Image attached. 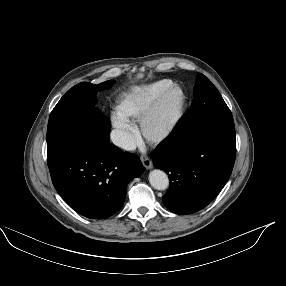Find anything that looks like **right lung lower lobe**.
I'll return each instance as SVG.
<instances>
[{
    "label": "right lung lower lobe",
    "mask_w": 286,
    "mask_h": 286,
    "mask_svg": "<svg viewBox=\"0 0 286 286\" xmlns=\"http://www.w3.org/2000/svg\"><path fill=\"white\" fill-rule=\"evenodd\" d=\"M53 185L65 202L87 217L103 219L120 210L128 182L143 173L135 154L89 134L47 148Z\"/></svg>",
    "instance_id": "1"
}]
</instances>
